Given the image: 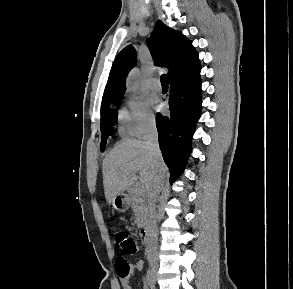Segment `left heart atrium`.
Instances as JSON below:
<instances>
[{
	"mask_svg": "<svg viewBox=\"0 0 293 289\" xmlns=\"http://www.w3.org/2000/svg\"><path fill=\"white\" fill-rule=\"evenodd\" d=\"M160 108H161V106H160V105H158V106H157V109H160Z\"/></svg>",
	"mask_w": 293,
	"mask_h": 289,
	"instance_id": "1",
	"label": "left heart atrium"
}]
</instances>
